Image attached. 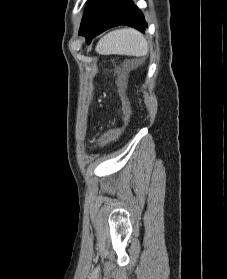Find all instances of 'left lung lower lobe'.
I'll return each instance as SVG.
<instances>
[{"instance_id":"1","label":"left lung lower lobe","mask_w":227,"mask_h":279,"mask_svg":"<svg viewBox=\"0 0 227 279\" xmlns=\"http://www.w3.org/2000/svg\"><path fill=\"white\" fill-rule=\"evenodd\" d=\"M119 25L131 26L141 32L147 27L142 12L131 0H93L79 34L85 36L89 44L96 35Z\"/></svg>"}]
</instances>
